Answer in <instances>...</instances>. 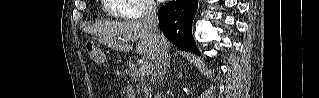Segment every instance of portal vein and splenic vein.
I'll return each mask as SVG.
<instances>
[{"mask_svg":"<svg viewBox=\"0 0 319 98\" xmlns=\"http://www.w3.org/2000/svg\"><path fill=\"white\" fill-rule=\"evenodd\" d=\"M126 41H132L133 42V40H131V38H127V39H125ZM139 71H140V73L141 74H150V72L152 71V66H151V64L150 63H148V62H146V63H144V64H142V66H141V68L139 69Z\"/></svg>","mask_w":319,"mask_h":98,"instance_id":"portal-vein-and-splenic-vein-1","label":"portal vein and splenic vein"}]
</instances>
